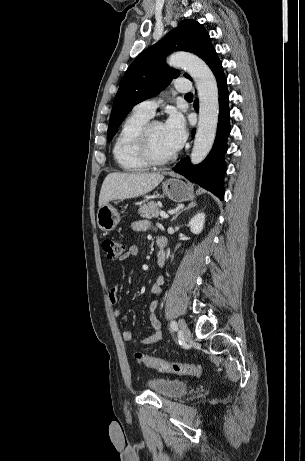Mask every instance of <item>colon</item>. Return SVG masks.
<instances>
[{"instance_id":"obj_1","label":"colon","mask_w":305,"mask_h":461,"mask_svg":"<svg viewBox=\"0 0 305 461\" xmlns=\"http://www.w3.org/2000/svg\"><path fill=\"white\" fill-rule=\"evenodd\" d=\"M102 247L108 258L112 260L119 259L124 254L125 250L123 241L110 238L103 241ZM135 359L147 367L161 372L197 377L202 375V366L198 364L171 362L145 355L142 352H136Z\"/></svg>"}]
</instances>
